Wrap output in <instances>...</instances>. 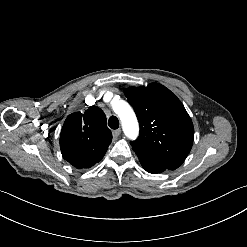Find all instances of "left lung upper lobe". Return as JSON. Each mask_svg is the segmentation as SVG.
<instances>
[{
    "label": "left lung upper lobe",
    "instance_id": "left-lung-upper-lobe-1",
    "mask_svg": "<svg viewBox=\"0 0 247 247\" xmlns=\"http://www.w3.org/2000/svg\"><path fill=\"white\" fill-rule=\"evenodd\" d=\"M140 124V135L131 145L138 157L168 170L186 159L194 139V127L181 101L165 86L125 90Z\"/></svg>",
    "mask_w": 247,
    "mask_h": 247
}]
</instances>
